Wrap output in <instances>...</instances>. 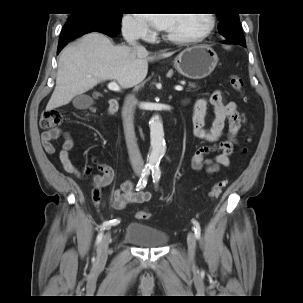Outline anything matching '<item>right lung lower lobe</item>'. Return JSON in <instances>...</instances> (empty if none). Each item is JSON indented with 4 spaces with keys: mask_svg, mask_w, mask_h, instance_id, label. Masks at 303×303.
<instances>
[{
    "mask_svg": "<svg viewBox=\"0 0 303 303\" xmlns=\"http://www.w3.org/2000/svg\"><path fill=\"white\" fill-rule=\"evenodd\" d=\"M120 22L92 17H78L69 20L63 27L58 43L57 54L70 41L90 32H101L114 37L120 32Z\"/></svg>",
    "mask_w": 303,
    "mask_h": 303,
    "instance_id": "right-lung-lower-lobe-1",
    "label": "right lung lower lobe"
}]
</instances>
